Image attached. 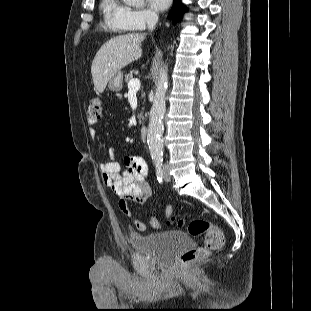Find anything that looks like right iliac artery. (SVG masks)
I'll return each mask as SVG.
<instances>
[{"mask_svg":"<svg viewBox=\"0 0 311 311\" xmlns=\"http://www.w3.org/2000/svg\"><path fill=\"white\" fill-rule=\"evenodd\" d=\"M156 167V176L159 183L163 181V169H162V160L158 159L154 161Z\"/></svg>","mask_w":311,"mask_h":311,"instance_id":"1","label":"right iliac artery"}]
</instances>
